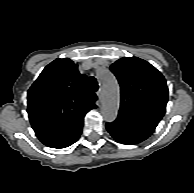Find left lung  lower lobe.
<instances>
[{
  "label": "left lung lower lobe",
  "instance_id": "left-lung-lower-lobe-1",
  "mask_svg": "<svg viewBox=\"0 0 194 193\" xmlns=\"http://www.w3.org/2000/svg\"><path fill=\"white\" fill-rule=\"evenodd\" d=\"M106 128L116 141L131 145L147 139L154 132L156 126L118 115L114 122L106 123Z\"/></svg>",
  "mask_w": 194,
  "mask_h": 193
}]
</instances>
